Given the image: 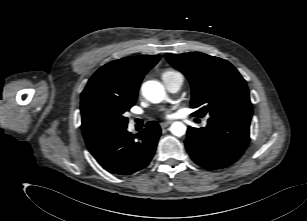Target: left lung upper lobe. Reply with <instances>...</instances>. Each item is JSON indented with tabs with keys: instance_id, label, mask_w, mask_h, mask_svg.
Instances as JSON below:
<instances>
[{
	"instance_id": "obj_1",
	"label": "left lung upper lobe",
	"mask_w": 307,
	"mask_h": 221,
	"mask_svg": "<svg viewBox=\"0 0 307 221\" xmlns=\"http://www.w3.org/2000/svg\"><path fill=\"white\" fill-rule=\"evenodd\" d=\"M165 57L191 84V107L197 109L194 116L236 115L251 119L248 87L228 61L200 52L165 54Z\"/></svg>"
}]
</instances>
